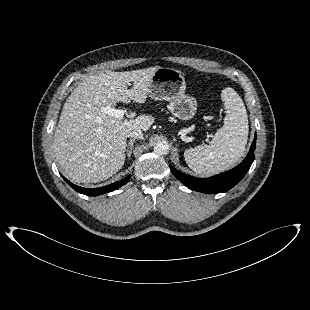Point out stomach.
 I'll use <instances>...</instances> for the list:
<instances>
[{
	"mask_svg": "<svg viewBox=\"0 0 310 310\" xmlns=\"http://www.w3.org/2000/svg\"><path fill=\"white\" fill-rule=\"evenodd\" d=\"M185 90V77L181 71L159 67L151 79L148 95L154 100L168 101V109L175 117L189 120L196 113L197 101L185 94Z\"/></svg>",
	"mask_w": 310,
	"mask_h": 310,
	"instance_id": "1",
	"label": "stomach"
}]
</instances>
